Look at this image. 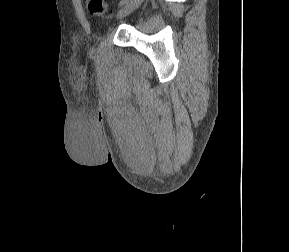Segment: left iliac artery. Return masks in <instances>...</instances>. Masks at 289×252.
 I'll list each match as a JSON object with an SVG mask.
<instances>
[{
	"label": "left iliac artery",
	"instance_id": "obj_1",
	"mask_svg": "<svg viewBox=\"0 0 289 252\" xmlns=\"http://www.w3.org/2000/svg\"><path fill=\"white\" fill-rule=\"evenodd\" d=\"M128 1H129V0H121L120 3H119V5L122 6V5L126 4Z\"/></svg>",
	"mask_w": 289,
	"mask_h": 252
}]
</instances>
